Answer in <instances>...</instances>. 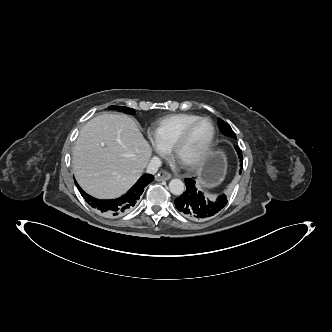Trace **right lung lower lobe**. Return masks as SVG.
<instances>
[{"label": "right lung lower lobe", "mask_w": 332, "mask_h": 332, "mask_svg": "<svg viewBox=\"0 0 332 332\" xmlns=\"http://www.w3.org/2000/svg\"><path fill=\"white\" fill-rule=\"evenodd\" d=\"M154 179L153 175L145 174L137 181V183L122 197L113 200H99L88 195L75 181V184L80 194L85 198L86 202L93 208L99 209L102 213L107 215H121L130 211L137 200H139L141 194L149 183Z\"/></svg>", "instance_id": "right-lung-lower-lobe-1"}]
</instances>
